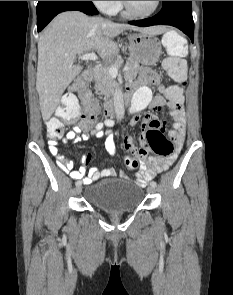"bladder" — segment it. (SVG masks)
I'll use <instances>...</instances> for the list:
<instances>
[{"label": "bladder", "mask_w": 233, "mask_h": 295, "mask_svg": "<svg viewBox=\"0 0 233 295\" xmlns=\"http://www.w3.org/2000/svg\"><path fill=\"white\" fill-rule=\"evenodd\" d=\"M143 189L126 180L105 179L86 189L87 199L95 206L110 213L132 211L143 199Z\"/></svg>", "instance_id": "obj_1"}]
</instances>
